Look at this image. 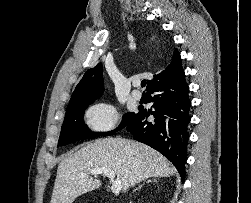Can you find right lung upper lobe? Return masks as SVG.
<instances>
[{
  "label": "right lung upper lobe",
  "instance_id": "cb5924a9",
  "mask_svg": "<svg viewBox=\"0 0 251 203\" xmlns=\"http://www.w3.org/2000/svg\"><path fill=\"white\" fill-rule=\"evenodd\" d=\"M181 65V57L176 49L170 64L162 70L157 75H154L153 80L147 81L148 90L152 85L163 80L167 75H169L175 68ZM102 64H97L94 68L89 69L78 83L75 91L72 94L69 104L84 102V101H94L101 97L103 93V75H102Z\"/></svg>",
  "mask_w": 251,
  "mask_h": 203
}]
</instances>
